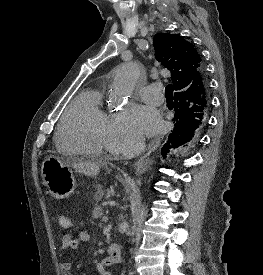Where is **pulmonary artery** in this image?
Returning a JSON list of instances; mask_svg holds the SVG:
<instances>
[{"label": "pulmonary artery", "mask_w": 263, "mask_h": 275, "mask_svg": "<svg viewBox=\"0 0 263 275\" xmlns=\"http://www.w3.org/2000/svg\"><path fill=\"white\" fill-rule=\"evenodd\" d=\"M139 93L142 99L150 104L160 105L164 102L161 85L158 83H152L141 88Z\"/></svg>", "instance_id": "pulmonary-artery-1"}]
</instances>
